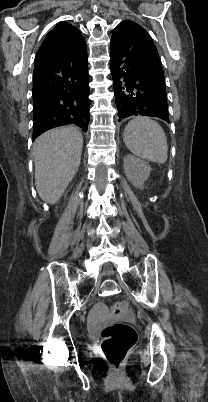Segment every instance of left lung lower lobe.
<instances>
[{
    "instance_id": "obj_1",
    "label": "left lung lower lobe",
    "mask_w": 208,
    "mask_h": 402,
    "mask_svg": "<svg viewBox=\"0 0 208 402\" xmlns=\"http://www.w3.org/2000/svg\"><path fill=\"white\" fill-rule=\"evenodd\" d=\"M148 37L140 25L128 21L113 32L110 68L119 121L142 115L169 122L165 82L142 66V44Z\"/></svg>"
}]
</instances>
